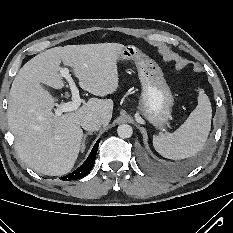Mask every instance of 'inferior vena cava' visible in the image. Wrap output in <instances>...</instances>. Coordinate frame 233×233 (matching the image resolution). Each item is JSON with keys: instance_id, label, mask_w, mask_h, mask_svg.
<instances>
[{"instance_id": "obj_1", "label": "inferior vena cava", "mask_w": 233, "mask_h": 233, "mask_svg": "<svg viewBox=\"0 0 233 233\" xmlns=\"http://www.w3.org/2000/svg\"><path fill=\"white\" fill-rule=\"evenodd\" d=\"M102 124V120L93 114H88L81 120V126L86 131H98Z\"/></svg>"}]
</instances>
